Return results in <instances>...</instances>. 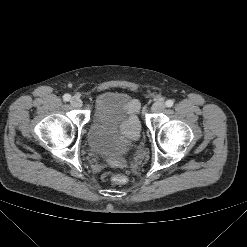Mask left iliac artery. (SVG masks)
Masks as SVG:
<instances>
[{"instance_id":"44dca946","label":"left iliac artery","mask_w":247,"mask_h":247,"mask_svg":"<svg viewBox=\"0 0 247 247\" xmlns=\"http://www.w3.org/2000/svg\"><path fill=\"white\" fill-rule=\"evenodd\" d=\"M173 104H174L173 100H167V101H166V106H167V107H172Z\"/></svg>"}]
</instances>
